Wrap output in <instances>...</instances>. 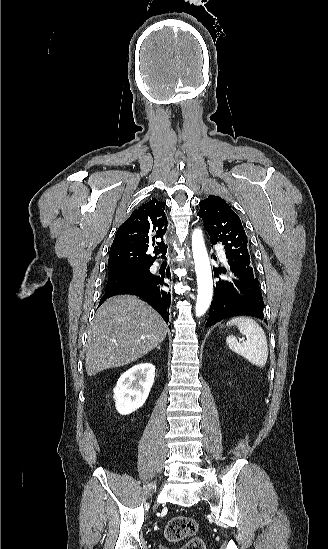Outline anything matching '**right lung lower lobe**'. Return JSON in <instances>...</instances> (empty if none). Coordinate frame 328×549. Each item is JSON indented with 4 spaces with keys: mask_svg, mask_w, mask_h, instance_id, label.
<instances>
[{
    "mask_svg": "<svg viewBox=\"0 0 328 549\" xmlns=\"http://www.w3.org/2000/svg\"><path fill=\"white\" fill-rule=\"evenodd\" d=\"M166 279L171 280L170 271L166 273L152 275L145 282L130 283L110 291H105L100 303L113 295L134 294L142 297L149 303L166 321H169V307L171 304V294L165 290ZM171 328V325L169 326Z\"/></svg>",
    "mask_w": 328,
    "mask_h": 549,
    "instance_id": "right-lung-lower-lobe-1",
    "label": "right lung lower lobe"
}]
</instances>
